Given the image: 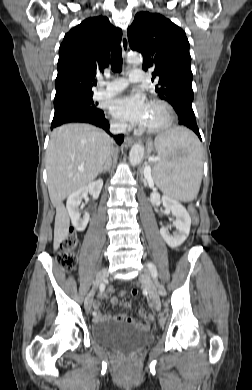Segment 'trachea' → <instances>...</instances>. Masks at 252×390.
I'll return each mask as SVG.
<instances>
[{
    "label": "trachea",
    "instance_id": "3493384b",
    "mask_svg": "<svg viewBox=\"0 0 252 390\" xmlns=\"http://www.w3.org/2000/svg\"><path fill=\"white\" fill-rule=\"evenodd\" d=\"M122 49L121 47L116 48L111 53V67L113 72H121L122 70Z\"/></svg>",
    "mask_w": 252,
    "mask_h": 390
}]
</instances>
